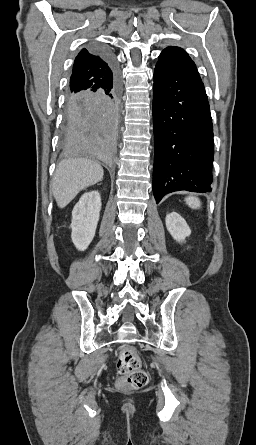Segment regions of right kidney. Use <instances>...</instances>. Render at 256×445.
<instances>
[{
	"label": "right kidney",
	"instance_id": "ca27d5eb",
	"mask_svg": "<svg viewBox=\"0 0 256 445\" xmlns=\"http://www.w3.org/2000/svg\"><path fill=\"white\" fill-rule=\"evenodd\" d=\"M101 205L100 194L94 190L84 193L73 208L71 238L80 251L86 250L95 236Z\"/></svg>",
	"mask_w": 256,
	"mask_h": 445
}]
</instances>
